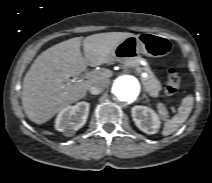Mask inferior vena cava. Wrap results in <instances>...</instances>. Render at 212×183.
I'll return each mask as SVG.
<instances>
[{
  "label": "inferior vena cava",
  "mask_w": 212,
  "mask_h": 183,
  "mask_svg": "<svg viewBox=\"0 0 212 183\" xmlns=\"http://www.w3.org/2000/svg\"><path fill=\"white\" fill-rule=\"evenodd\" d=\"M106 84L107 82H102V81L96 82L89 88V92L93 95H98L104 90V88L106 87Z\"/></svg>",
  "instance_id": "inferior-vena-cava-1"
}]
</instances>
